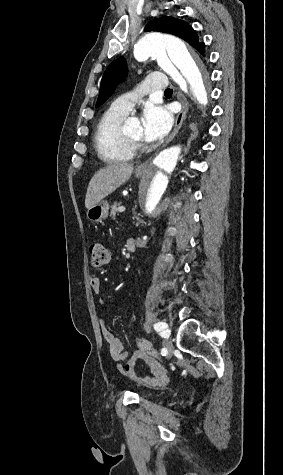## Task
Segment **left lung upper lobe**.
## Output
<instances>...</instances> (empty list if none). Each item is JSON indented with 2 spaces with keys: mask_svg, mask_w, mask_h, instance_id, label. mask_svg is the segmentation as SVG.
Listing matches in <instances>:
<instances>
[{
  "mask_svg": "<svg viewBox=\"0 0 283 475\" xmlns=\"http://www.w3.org/2000/svg\"><path fill=\"white\" fill-rule=\"evenodd\" d=\"M145 31H158L173 34L194 46L200 53L204 52V43L198 42V36L187 22L175 19L174 17L164 16L150 21ZM127 76V65L124 58H118L113 61L104 72L102 77L100 91L96 107L103 104L114 92V88L125 80Z\"/></svg>",
  "mask_w": 283,
  "mask_h": 475,
  "instance_id": "obj_1",
  "label": "left lung upper lobe"
}]
</instances>
